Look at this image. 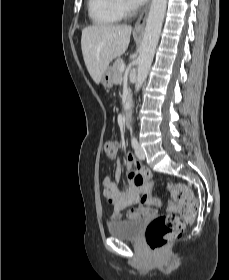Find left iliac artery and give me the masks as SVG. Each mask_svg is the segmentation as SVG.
<instances>
[{
    "instance_id": "44dca946",
    "label": "left iliac artery",
    "mask_w": 229,
    "mask_h": 280,
    "mask_svg": "<svg viewBox=\"0 0 229 280\" xmlns=\"http://www.w3.org/2000/svg\"><path fill=\"white\" fill-rule=\"evenodd\" d=\"M131 144H132V147H133L134 149L137 148L138 142H137V139H136L135 136L132 137Z\"/></svg>"
}]
</instances>
